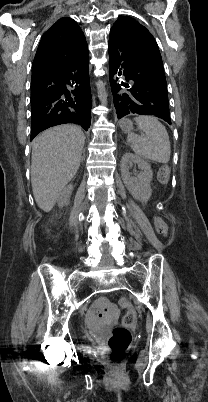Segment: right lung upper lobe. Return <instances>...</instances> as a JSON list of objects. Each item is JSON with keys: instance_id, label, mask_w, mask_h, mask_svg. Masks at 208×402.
<instances>
[{"instance_id": "1", "label": "right lung upper lobe", "mask_w": 208, "mask_h": 402, "mask_svg": "<svg viewBox=\"0 0 208 402\" xmlns=\"http://www.w3.org/2000/svg\"><path fill=\"white\" fill-rule=\"evenodd\" d=\"M85 41L75 20L61 18L42 36L33 64L61 59L75 52Z\"/></svg>"}]
</instances>
